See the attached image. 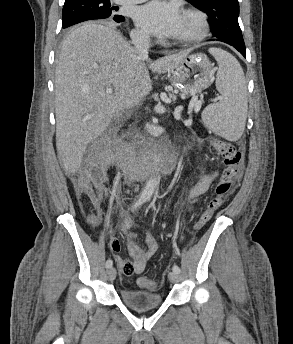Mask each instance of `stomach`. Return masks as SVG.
<instances>
[{"label":"stomach","mask_w":293,"mask_h":344,"mask_svg":"<svg viewBox=\"0 0 293 344\" xmlns=\"http://www.w3.org/2000/svg\"><path fill=\"white\" fill-rule=\"evenodd\" d=\"M214 67L204 54H191L168 72L170 82L184 95H195L209 87L214 80Z\"/></svg>","instance_id":"1"}]
</instances>
